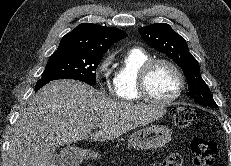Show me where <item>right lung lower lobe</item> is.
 Returning <instances> with one entry per match:
<instances>
[{"label":"right lung lower lobe","mask_w":231,"mask_h":166,"mask_svg":"<svg viewBox=\"0 0 231 166\" xmlns=\"http://www.w3.org/2000/svg\"><path fill=\"white\" fill-rule=\"evenodd\" d=\"M49 82H50V80H43V79L38 80L36 83V86H35V91L37 92L41 87H43L44 85H46Z\"/></svg>","instance_id":"1"}]
</instances>
